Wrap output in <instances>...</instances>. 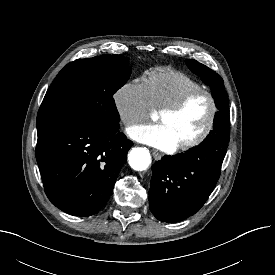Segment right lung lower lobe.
<instances>
[{
	"label": "right lung lower lobe",
	"mask_w": 275,
	"mask_h": 275,
	"mask_svg": "<svg viewBox=\"0 0 275 275\" xmlns=\"http://www.w3.org/2000/svg\"><path fill=\"white\" fill-rule=\"evenodd\" d=\"M118 130L87 123L38 137L36 160L45 193L56 207L74 216L103 208L133 145Z\"/></svg>",
	"instance_id": "1"
}]
</instances>
